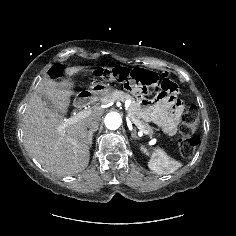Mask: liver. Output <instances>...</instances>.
<instances>
[{"instance_id":"liver-1","label":"liver","mask_w":236,"mask_h":236,"mask_svg":"<svg viewBox=\"0 0 236 236\" xmlns=\"http://www.w3.org/2000/svg\"><path fill=\"white\" fill-rule=\"evenodd\" d=\"M83 68L69 67L65 73L71 77ZM73 87L71 79L58 83L44 76L32 93L23 115L26 148L44 168L60 176L73 175L87 167L90 153L86 121L103 114V110L96 107L90 116L60 131L73 95L69 89ZM40 95H45L56 111L47 108Z\"/></svg>"}]
</instances>
